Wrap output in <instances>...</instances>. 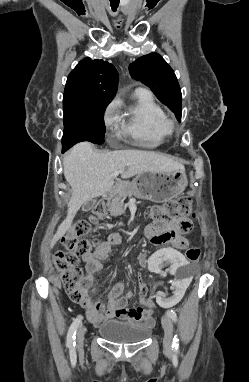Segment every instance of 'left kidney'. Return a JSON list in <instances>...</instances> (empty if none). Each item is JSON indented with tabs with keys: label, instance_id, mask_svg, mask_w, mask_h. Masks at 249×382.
Wrapping results in <instances>:
<instances>
[{
	"label": "left kidney",
	"instance_id": "obj_1",
	"mask_svg": "<svg viewBox=\"0 0 249 382\" xmlns=\"http://www.w3.org/2000/svg\"><path fill=\"white\" fill-rule=\"evenodd\" d=\"M168 249V250H166ZM189 262L183 256L181 250H175L174 245L168 248L158 250L149 260H140V267H149V271L157 273L164 284L168 286L166 289H159L154 292V300L157 307H175L176 302H182L184 293L193 283L196 276L195 270H182ZM168 281H173L169 283Z\"/></svg>",
	"mask_w": 249,
	"mask_h": 382
}]
</instances>
